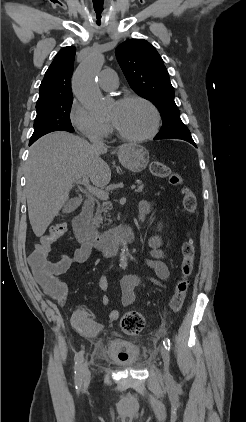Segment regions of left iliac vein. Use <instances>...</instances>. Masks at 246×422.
I'll list each match as a JSON object with an SVG mask.
<instances>
[{
    "label": "left iliac vein",
    "instance_id": "4c4485c4",
    "mask_svg": "<svg viewBox=\"0 0 246 422\" xmlns=\"http://www.w3.org/2000/svg\"><path fill=\"white\" fill-rule=\"evenodd\" d=\"M161 356H162V360L164 363V374L166 378L170 377V373H169V364H170V356H169V352L168 350L164 347L161 346Z\"/></svg>",
    "mask_w": 246,
    "mask_h": 422
}]
</instances>
